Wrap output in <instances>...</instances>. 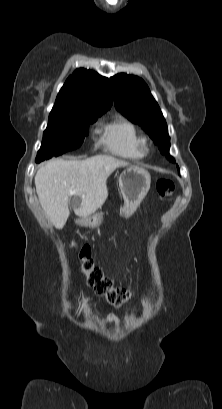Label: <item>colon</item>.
<instances>
[{
    "label": "colon",
    "instance_id": "colon-1",
    "mask_svg": "<svg viewBox=\"0 0 222 409\" xmlns=\"http://www.w3.org/2000/svg\"><path fill=\"white\" fill-rule=\"evenodd\" d=\"M156 190L162 198L170 197L174 190V183L166 178L159 179L156 183ZM76 247L75 244H72ZM78 258L80 261V269L86 277L89 286L95 293L105 297V299L114 307L123 306L132 296L125 288L115 286L111 279L106 277L92 258L91 250L87 245H82L78 249Z\"/></svg>",
    "mask_w": 222,
    "mask_h": 409
}]
</instances>
